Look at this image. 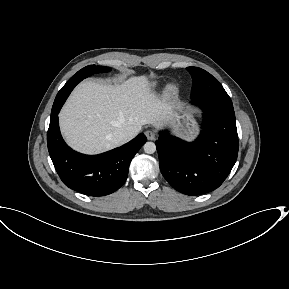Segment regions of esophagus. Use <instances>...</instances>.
I'll return each instance as SVG.
<instances>
[{"mask_svg":"<svg viewBox=\"0 0 289 289\" xmlns=\"http://www.w3.org/2000/svg\"><path fill=\"white\" fill-rule=\"evenodd\" d=\"M145 135H146L148 140H154L156 138V134L152 130H146Z\"/></svg>","mask_w":289,"mask_h":289,"instance_id":"esophagus-1","label":"esophagus"}]
</instances>
